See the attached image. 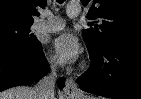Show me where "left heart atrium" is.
Listing matches in <instances>:
<instances>
[{
	"label": "left heart atrium",
	"instance_id": "39dd6f15",
	"mask_svg": "<svg viewBox=\"0 0 141 99\" xmlns=\"http://www.w3.org/2000/svg\"><path fill=\"white\" fill-rule=\"evenodd\" d=\"M52 47L56 55L65 63L75 62L81 53L78 39L71 34H63L55 38Z\"/></svg>",
	"mask_w": 141,
	"mask_h": 99
}]
</instances>
